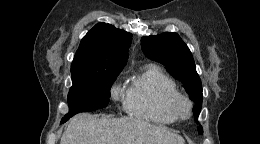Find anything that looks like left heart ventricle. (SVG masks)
<instances>
[{
    "label": "left heart ventricle",
    "instance_id": "b2bd125f",
    "mask_svg": "<svg viewBox=\"0 0 260 144\" xmlns=\"http://www.w3.org/2000/svg\"><path fill=\"white\" fill-rule=\"evenodd\" d=\"M180 109H181L182 112H185V110H186L185 105H181V106H180Z\"/></svg>",
    "mask_w": 260,
    "mask_h": 144
}]
</instances>
